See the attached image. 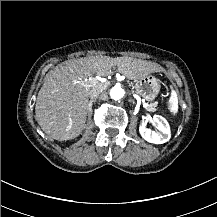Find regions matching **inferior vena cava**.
<instances>
[{
	"mask_svg": "<svg viewBox=\"0 0 217 217\" xmlns=\"http://www.w3.org/2000/svg\"><path fill=\"white\" fill-rule=\"evenodd\" d=\"M107 83H98L96 86H94L90 91H89V97L91 99H96L99 94H101L106 88H107Z\"/></svg>",
	"mask_w": 217,
	"mask_h": 217,
	"instance_id": "inferior-vena-cava-1",
	"label": "inferior vena cava"
}]
</instances>
